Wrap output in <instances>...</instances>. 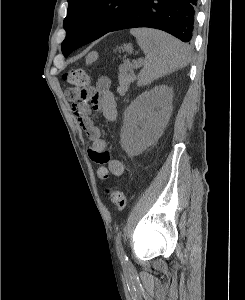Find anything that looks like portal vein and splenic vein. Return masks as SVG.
<instances>
[{"instance_id":"obj_1","label":"portal vein and splenic vein","mask_w":245,"mask_h":300,"mask_svg":"<svg viewBox=\"0 0 245 300\" xmlns=\"http://www.w3.org/2000/svg\"><path fill=\"white\" fill-rule=\"evenodd\" d=\"M132 63L135 65V66H139V65H141V63H142V60H133L132 61Z\"/></svg>"}]
</instances>
